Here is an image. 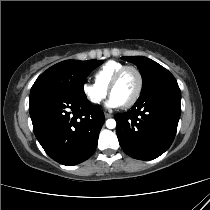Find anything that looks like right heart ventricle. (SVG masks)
Here are the masks:
<instances>
[{
  "instance_id": "right-heart-ventricle-1",
  "label": "right heart ventricle",
  "mask_w": 210,
  "mask_h": 210,
  "mask_svg": "<svg viewBox=\"0 0 210 210\" xmlns=\"http://www.w3.org/2000/svg\"><path fill=\"white\" fill-rule=\"evenodd\" d=\"M123 66H125L123 63L113 60L104 63L94 73L95 83L107 90L114 75Z\"/></svg>"
}]
</instances>
